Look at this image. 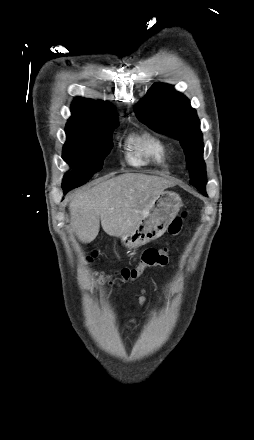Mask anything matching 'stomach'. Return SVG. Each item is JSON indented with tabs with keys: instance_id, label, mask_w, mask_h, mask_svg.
Here are the masks:
<instances>
[{
	"instance_id": "obj_1",
	"label": "stomach",
	"mask_w": 254,
	"mask_h": 440,
	"mask_svg": "<svg viewBox=\"0 0 254 440\" xmlns=\"http://www.w3.org/2000/svg\"><path fill=\"white\" fill-rule=\"evenodd\" d=\"M182 200L172 191H163L152 203L148 214L131 233L123 235L121 242L129 249L161 237L178 214Z\"/></svg>"
}]
</instances>
